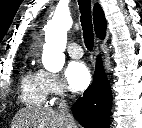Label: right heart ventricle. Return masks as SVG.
I'll use <instances>...</instances> for the list:
<instances>
[{"instance_id":"obj_1","label":"right heart ventricle","mask_w":142,"mask_h":128,"mask_svg":"<svg viewBox=\"0 0 142 128\" xmlns=\"http://www.w3.org/2000/svg\"><path fill=\"white\" fill-rule=\"evenodd\" d=\"M21 99L30 106H42L46 103L40 71L29 69L21 80Z\"/></svg>"}]
</instances>
